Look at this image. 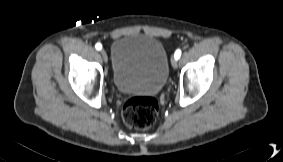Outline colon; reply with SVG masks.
I'll return each mask as SVG.
<instances>
[{
	"label": "colon",
	"mask_w": 283,
	"mask_h": 162,
	"mask_svg": "<svg viewBox=\"0 0 283 162\" xmlns=\"http://www.w3.org/2000/svg\"><path fill=\"white\" fill-rule=\"evenodd\" d=\"M159 104L151 97H132L128 99L122 110L124 122L135 129L150 128L157 120Z\"/></svg>",
	"instance_id": "1"
}]
</instances>
